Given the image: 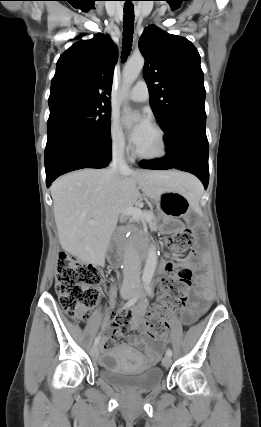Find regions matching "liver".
Listing matches in <instances>:
<instances>
[{"mask_svg": "<svg viewBox=\"0 0 261 427\" xmlns=\"http://www.w3.org/2000/svg\"><path fill=\"white\" fill-rule=\"evenodd\" d=\"M194 181L191 175L178 171L118 173L85 168L66 174L51 186L60 245L87 263L103 264L119 213L137 203L139 190L154 200L168 190L188 196Z\"/></svg>", "mask_w": 261, "mask_h": 427, "instance_id": "obj_1", "label": "liver"}]
</instances>
